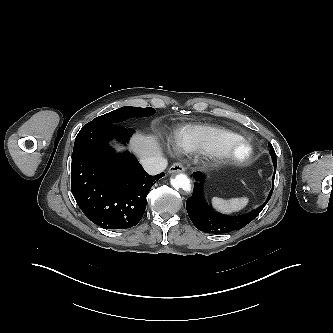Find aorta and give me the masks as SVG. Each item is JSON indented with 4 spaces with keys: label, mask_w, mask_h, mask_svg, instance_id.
<instances>
[{
    "label": "aorta",
    "mask_w": 333,
    "mask_h": 333,
    "mask_svg": "<svg viewBox=\"0 0 333 333\" xmlns=\"http://www.w3.org/2000/svg\"><path fill=\"white\" fill-rule=\"evenodd\" d=\"M171 185L176 189L189 191L191 189L190 179L185 174H178L170 180Z\"/></svg>",
    "instance_id": "1"
}]
</instances>
